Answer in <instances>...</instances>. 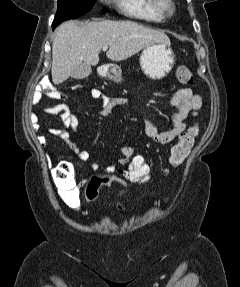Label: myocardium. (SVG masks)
Here are the masks:
<instances>
[{
  "label": "myocardium",
  "instance_id": "1",
  "mask_svg": "<svg viewBox=\"0 0 240 287\" xmlns=\"http://www.w3.org/2000/svg\"><path fill=\"white\" fill-rule=\"evenodd\" d=\"M153 8L162 16H171L176 11L174 0H152Z\"/></svg>",
  "mask_w": 240,
  "mask_h": 287
}]
</instances>
